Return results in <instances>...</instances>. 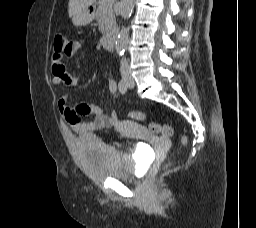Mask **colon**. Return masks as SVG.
I'll return each mask as SVG.
<instances>
[{"mask_svg": "<svg viewBox=\"0 0 256 228\" xmlns=\"http://www.w3.org/2000/svg\"><path fill=\"white\" fill-rule=\"evenodd\" d=\"M67 41L66 39L61 36V35H56L54 40H53V48H54V53L55 54H62L64 50L67 47ZM130 117L135 120H142L143 119V114L139 111H133L130 113ZM149 129L161 136V137H170L173 134V129L170 125L168 124H159V123H150L149 124ZM181 143L185 145L187 143V138L183 135L181 136Z\"/></svg>", "mask_w": 256, "mask_h": 228, "instance_id": "colon-1", "label": "colon"}]
</instances>
